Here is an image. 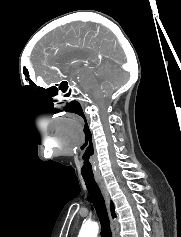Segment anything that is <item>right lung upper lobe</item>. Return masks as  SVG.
<instances>
[{"mask_svg":"<svg viewBox=\"0 0 181 237\" xmlns=\"http://www.w3.org/2000/svg\"><path fill=\"white\" fill-rule=\"evenodd\" d=\"M111 213H112V217L115 218L116 215L114 213V204H113V202H111Z\"/></svg>","mask_w":181,"mask_h":237,"instance_id":"1","label":"right lung upper lobe"}]
</instances>
